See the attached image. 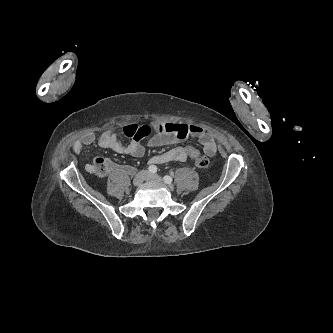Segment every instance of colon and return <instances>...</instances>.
<instances>
[{"label": "colon", "mask_w": 333, "mask_h": 333, "mask_svg": "<svg viewBox=\"0 0 333 333\" xmlns=\"http://www.w3.org/2000/svg\"><path fill=\"white\" fill-rule=\"evenodd\" d=\"M192 149V147L186 148V150L189 152ZM194 162L196 166L200 168L207 167L209 164V158L203 154H199L194 158Z\"/></svg>", "instance_id": "1"}]
</instances>
